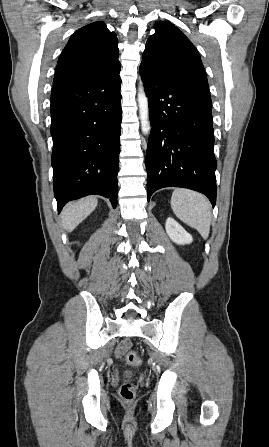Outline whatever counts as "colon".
<instances>
[{
    "instance_id": "colon-1",
    "label": "colon",
    "mask_w": 269,
    "mask_h": 447,
    "mask_svg": "<svg viewBox=\"0 0 269 447\" xmlns=\"http://www.w3.org/2000/svg\"><path fill=\"white\" fill-rule=\"evenodd\" d=\"M123 359L128 365H137L140 364V357L133 350H125L123 351ZM136 396V386L131 381H125L122 383L119 389V397L122 402L130 404L134 401Z\"/></svg>"
}]
</instances>
